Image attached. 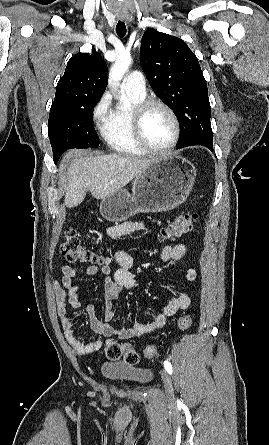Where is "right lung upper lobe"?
<instances>
[{
    "label": "right lung upper lobe",
    "mask_w": 269,
    "mask_h": 445,
    "mask_svg": "<svg viewBox=\"0 0 269 445\" xmlns=\"http://www.w3.org/2000/svg\"><path fill=\"white\" fill-rule=\"evenodd\" d=\"M108 69L99 53L74 55L60 78L54 101L101 98L107 85Z\"/></svg>",
    "instance_id": "obj_1"
}]
</instances>
